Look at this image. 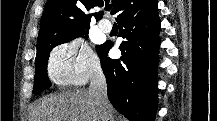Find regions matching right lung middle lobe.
Listing matches in <instances>:
<instances>
[{
	"label": "right lung middle lobe",
	"instance_id": "obj_1",
	"mask_svg": "<svg viewBox=\"0 0 217 121\" xmlns=\"http://www.w3.org/2000/svg\"><path fill=\"white\" fill-rule=\"evenodd\" d=\"M88 30L89 28L79 30L64 38L54 40V41H48V42L37 45V54H36V59H35L36 73H35L34 88H33L34 94L40 93L44 89L49 88L51 85L48 75H47V62H48L49 54L52 48L59 44L69 42L77 37L85 36V38H88L87 36ZM101 48H102V45L96 46V50L98 53L100 52Z\"/></svg>",
	"mask_w": 217,
	"mask_h": 121
}]
</instances>
